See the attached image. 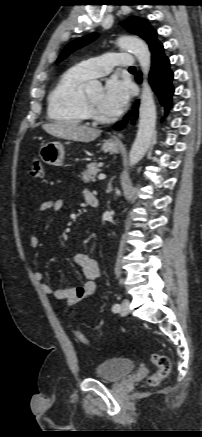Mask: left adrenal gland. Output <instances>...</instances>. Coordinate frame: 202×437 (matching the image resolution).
<instances>
[{"label":"left adrenal gland","instance_id":"a2214340","mask_svg":"<svg viewBox=\"0 0 202 437\" xmlns=\"http://www.w3.org/2000/svg\"><path fill=\"white\" fill-rule=\"evenodd\" d=\"M112 183H111V181L108 183V186H107V192L108 193H110L111 191H112V185H111Z\"/></svg>","mask_w":202,"mask_h":437}]
</instances>
